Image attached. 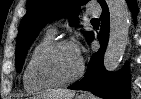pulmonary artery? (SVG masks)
<instances>
[{"instance_id":"obj_1","label":"pulmonary artery","mask_w":141,"mask_h":99,"mask_svg":"<svg viewBox=\"0 0 141 99\" xmlns=\"http://www.w3.org/2000/svg\"><path fill=\"white\" fill-rule=\"evenodd\" d=\"M87 12L91 15H98L99 14V9L95 6H89L87 9ZM48 34L51 36H54L56 34V29L55 28H50L48 30Z\"/></svg>"}]
</instances>
